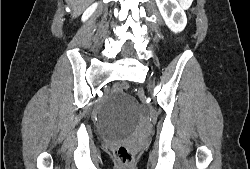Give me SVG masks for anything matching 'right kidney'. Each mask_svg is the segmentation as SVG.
<instances>
[{
  "mask_svg": "<svg viewBox=\"0 0 250 169\" xmlns=\"http://www.w3.org/2000/svg\"><path fill=\"white\" fill-rule=\"evenodd\" d=\"M97 4H98V2H93V4H90V6H88V8H86V10H84V12L81 16V20H88L89 16H91V14H93V12H95V10L97 8Z\"/></svg>",
  "mask_w": 250,
  "mask_h": 169,
  "instance_id": "1",
  "label": "right kidney"
}]
</instances>
